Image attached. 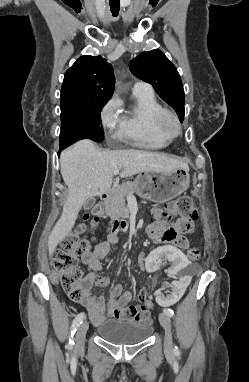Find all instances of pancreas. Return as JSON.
Listing matches in <instances>:
<instances>
[{
	"instance_id": "cf45deb5",
	"label": "pancreas",
	"mask_w": 249,
	"mask_h": 382,
	"mask_svg": "<svg viewBox=\"0 0 249 382\" xmlns=\"http://www.w3.org/2000/svg\"><path fill=\"white\" fill-rule=\"evenodd\" d=\"M135 183L126 182L115 187L105 202L106 214L111 218H128L129 210L125 204L127 195L134 193Z\"/></svg>"
}]
</instances>
